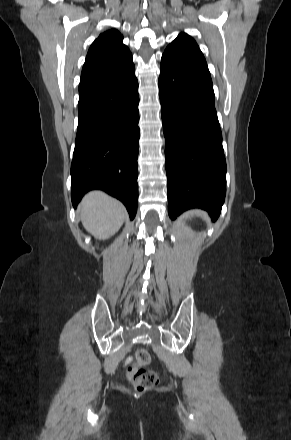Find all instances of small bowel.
I'll use <instances>...</instances> for the list:
<instances>
[{"label": "small bowel", "mask_w": 291, "mask_h": 440, "mask_svg": "<svg viewBox=\"0 0 291 440\" xmlns=\"http://www.w3.org/2000/svg\"><path fill=\"white\" fill-rule=\"evenodd\" d=\"M132 362V359L131 358H127L126 359V364H130Z\"/></svg>", "instance_id": "1"}]
</instances>
